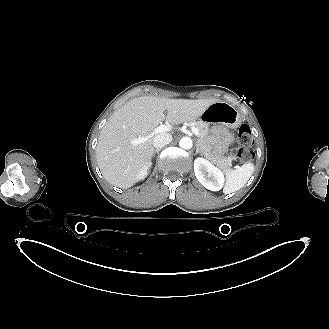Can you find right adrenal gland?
<instances>
[{
	"label": "right adrenal gland",
	"mask_w": 329,
	"mask_h": 329,
	"mask_svg": "<svg viewBox=\"0 0 329 329\" xmlns=\"http://www.w3.org/2000/svg\"><path fill=\"white\" fill-rule=\"evenodd\" d=\"M160 149H155L152 153V156H154L155 153H159Z\"/></svg>",
	"instance_id": "1"
}]
</instances>
